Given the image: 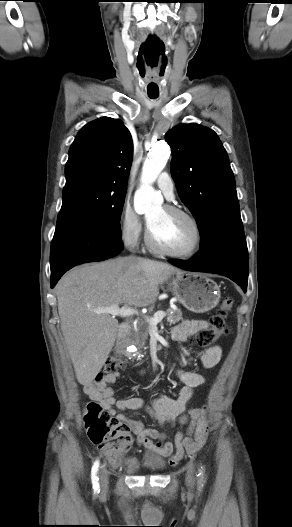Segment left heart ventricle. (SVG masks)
<instances>
[{
  "instance_id": "left-heart-ventricle-1",
  "label": "left heart ventricle",
  "mask_w": 292,
  "mask_h": 527,
  "mask_svg": "<svg viewBox=\"0 0 292 527\" xmlns=\"http://www.w3.org/2000/svg\"><path fill=\"white\" fill-rule=\"evenodd\" d=\"M148 222L154 240L167 249L184 251L193 243L194 229L181 215L157 207L148 213Z\"/></svg>"
}]
</instances>
